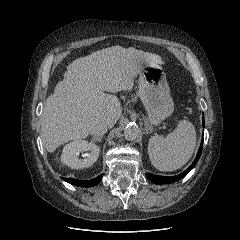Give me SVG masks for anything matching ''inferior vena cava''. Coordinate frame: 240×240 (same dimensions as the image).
<instances>
[{
  "mask_svg": "<svg viewBox=\"0 0 240 240\" xmlns=\"http://www.w3.org/2000/svg\"><path fill=\"white\" fill-rule=\"evenodd\" d=\"M110 125L108 121H101L99 122L92 130L91 134L95 136H101L107 132L109 129Z\"/></svg>",
  "mask_w": 240,
  "mask_h": 240,
  "instance_id": "inferior-vena-cava-1",
  "label": "inferior vena cava"
}]
</instances>
